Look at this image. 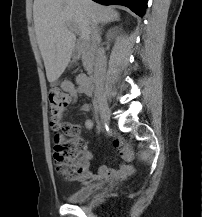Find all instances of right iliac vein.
Instances as JSON below:
<instances>
[{
    "label": "right iliac vein",
    "instance_id": "obj_1",
    "mask_svg": "<svg viewBox=\"0 0 202 217\" xmlns=\"http://www.w3.org/2000/svg\"><path fill=\"white\" fill-rule=\"evenodd\" d=\"M97 103L100 108L102 123L108 124L110 121V110L106 98L102 94H98Z\"/></svg>",
    "mask_w": 202,
    "mask_h": 217
}]
</instances>
